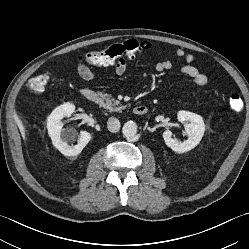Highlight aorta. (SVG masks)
<instances>
[{"label":"aorta","instance_id":"obj_1","mask_svg":"<svg viewBox=\"0 0 249 249\" xmlns=\"http://www.w3.org/2000/svg\"><path fill=\"white\" fill-rule=\"evenodd\" d=\"M122 133L125 137H133L137 133V124L133 121H128L122 128Z\"/></svg>","mask_w":249,"mask_h":249}]
</instances>
